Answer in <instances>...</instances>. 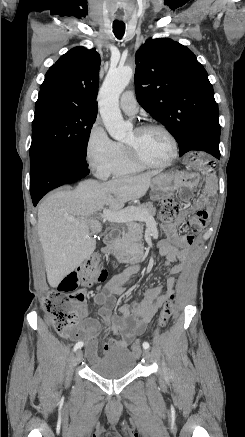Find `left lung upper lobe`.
Masks as SVG:
<instances>
[{
    "label": "left lung upper lobe",
    "mask_w": 245,
    "mask_h": 437,
    "mask_svg": "<svg viewBox=\"0 0 245 437\" xmlns=\"http://www.w3.org/2000/svg\"><path fill=\"white\" fill-rule=\"evenodd\" d=\"M135 63L137 100L174 136L180 155L202 141L219 144L213 87L193 52L168 38L150 39L136 52Z\"/></svg>",
    "instance_id": "5c2ea615"
}]
</instances>
